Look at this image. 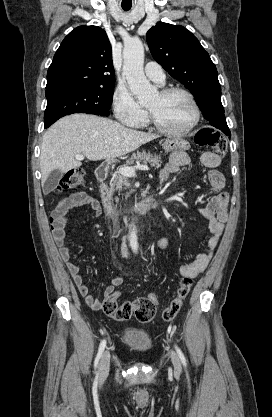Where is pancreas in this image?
<instances>
[{
    "instance_id": "pancreas-1",
    "label": "pancreas",
    "mask_w": 272,
    "mask_h": 417,
    "mask_svg": "<svg viewBox=\"0 0 272 417\" xmlns=\"http://www.w3.org/2000/svg\"><path fill=\"white\" fill-rule=\"evenodd\" d=\"M133 160H138L140 162H142L143 164H147L149 163L151 166H154L156 168H160L162 161L161 158L158 156H154L150 153H137L136 155H134L130 161L128 162L129 164L133 163ZM123 187H130V183L128 180V177L123 176L121 174H114L113 178H112V184H111V189L112 190H122Z\"/></svg>"
}]
</instances>
